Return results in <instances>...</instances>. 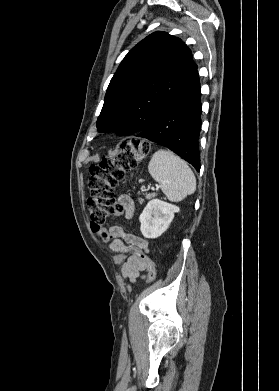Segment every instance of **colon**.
I'll return each mask as SVG.
<instances>
[{
	"label": "colon",
	"mask_w": 279,
	"mask_h": 391,
	"mask_svg": "<svg viewBox=\"0 0 279 391\" xmlns=\"http://www.w3.org/2000/svg\"><path fill=\"white\" fill-rule=\"evenodd\" d=\"M149 151L150 145L146 141L133 138L123 142L112 156L103 158L90 167L87 208L92 230L103 240L111 239L109 232L102 228L103 224L108 218L119 216L123 212L122 206L115 199V187L126 172L145 161ZM129 249L147 264V280L149 283L153 282L156 277L154 262L142 250L134 246H129Z\"/></svg>",
	"instance_id": "colon-1"
}]
</instances>
